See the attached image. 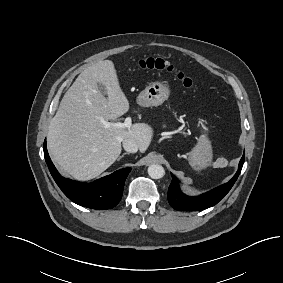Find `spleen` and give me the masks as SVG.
<instances>
[{
  "label": "spleen",
  "instance_id": "obj_1",
  "mask_svg": "<svg viewBox=\"0 0 283 283\" xmlns=\"http://www.w3.org/2000/svg\"><path fill=\"white\" fill-rule=\"evenodd\" d=\"M217 167H224L227 165V161L223 158L218 159L216 162Z\"/></svg>",
  "mask_w": 283,
  "mask_h": 283
}]
</instances>
